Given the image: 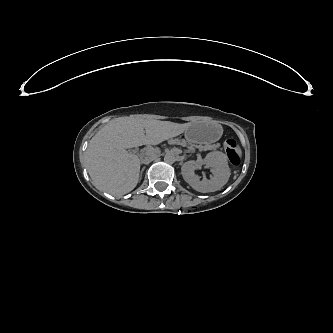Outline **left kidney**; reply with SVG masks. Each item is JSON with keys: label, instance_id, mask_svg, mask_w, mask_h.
I'll use <instances>...</instances> for the list:
<instances>
[{"label": "left kidney", "instance_id": "obj_1", "mask_svg": "<svg viewBox=\"0 0 333 333\" xmlns=\"http://www.w3.org/2000/svg\"><path fill=\"white\" fill-rule=\"evenodd\" d=\"M210 168L212 176L210 179H202L195 173L201 166ZM182 176L184 180L196 191L202 193L220 190L230 177L231 169L227 159L222 152H210L205 158L189 160L182 165Z\"/></svg>", "mask_w": 333, "mask_h": 333}]
</instances>
